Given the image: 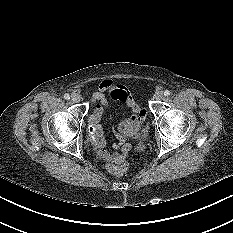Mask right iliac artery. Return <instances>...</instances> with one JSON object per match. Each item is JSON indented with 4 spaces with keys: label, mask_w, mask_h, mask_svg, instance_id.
Returning a JSON list of instances; mask_svg holds the SVG:
<instances>
[{
    "label": "right iliac artery",
    "mask_w": 233,
    "mask_h": 233,
    "mask_svg": "<svg viewBox=\"0 0 233 233\" xmlns=\"http://www.w3.org/2000/svg\"><path fill=\"white\" fill-rule=\"evenodd\" d=\"M64 98H65L66 100H69V99H70V95H69V94H65V95H64Z\"/></svg>",
    "instance_id": "82829eb1"
}]
</instances>
